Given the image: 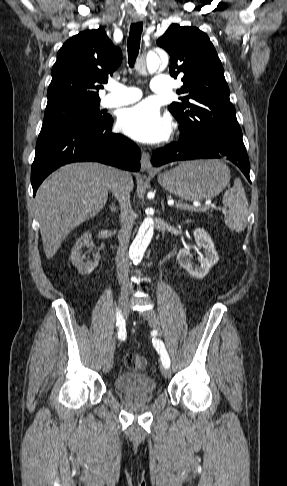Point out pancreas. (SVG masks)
I'll list each match as a JSON object with an SVG mask.
<instances>
[{
    "label": "pancreas",
    "mask_w": 287,
    "mask_h": 486,
    "mask_svg": "<svg viewBox=\"0 0 287 486\" xmlns=\"http://www.w3.org/2000/svg\"><path fill=\"white\" fill-rule=\"evenodd\" d=\"M178 203H182V202L178 201L176 204H178Z\"/></svg>",
    "instance_id": "obj_1"
}]
</instances>
